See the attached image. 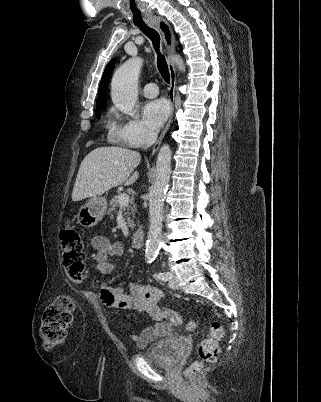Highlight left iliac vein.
<instances>
[{
  "mask_svg": "<svg viewBox=\"0 0 321 402\" xmlns=\"http://www.w3.org/2000/svg\"><path fill=\"white\" fill-rule=\"evenodd\" d=\"M169 273L171 275V279L169 281V287L171 289H178L179 286H178V280H177L176 274L173 271H170Z\"/></svg>",
  "mask_w": 321,
  "mask_h": 402,
  "instance_id": "left-iliac-vein-1",
  "label": "left iliac vein"
}]
</instances>
